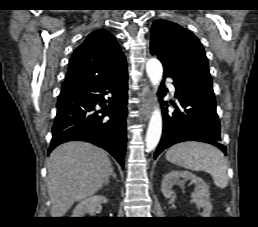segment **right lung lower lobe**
I'll return each instance as SVG.
<instances>
[{"label":"right lung lower lobe","mask_w":258,"mask_h":227,"mask_svg":"<svg viewBox=\"0 0 258 227\" xmlns=\"http://www.w3.org/2000/svg\"><path fill=\"white\" fill-rule=\"evenodd\" d=\"M127 82L126 66L103 76L65 81L57 102V115L48 153L64 142L83 140L108 151L123 168ZM97 104L102 108L99 111L95 110ZM105 117L110 119L106 120Z\"/></svg>","instance_id":"obj_1"}]
</instances>
